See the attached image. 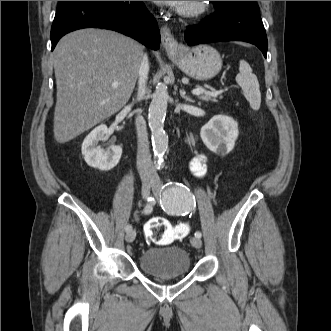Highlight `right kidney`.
<instances>
[{"instance_id": "right-kidney-1", "label": "right kidney", "mask_w": 331, "mask_h": 331, "mask_svg": "<svg viewBox=\"0 0 331 331\" xmlns=\"http://www.w3.org/2000/svg\"><path fill=\"white\" fill-rule=\"evenodd\" d=\"M107 134V126L105 124L99 125L85 137L81 148L86 163L101 171L113 169L122 155L120 146H112L110 150L106 151L99 145V141L103 140Z\"/></svg>"}]
</instances>
